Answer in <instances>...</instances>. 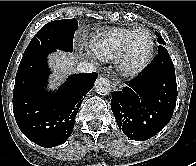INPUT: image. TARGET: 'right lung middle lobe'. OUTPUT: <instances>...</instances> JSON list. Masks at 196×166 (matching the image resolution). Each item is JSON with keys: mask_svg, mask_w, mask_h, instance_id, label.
Here are the masks:
<instances>
[{"mask_svg": "<svg viewBox=\"0 0 196 166\" xmlns=\"http://www.w3.org/2000/svg\"><path fill=\"white\" fill-rule=\"evenodd\" d=\"M77 20H55L44 25L32 38L24 55L43 49L73 50V37L77 29Z\"/></svg>", "mask_w": 196, "mask_h": 166, "instance_id": "dd1d6c3e", "label": "right lung middle lobe"}]
</instances>
